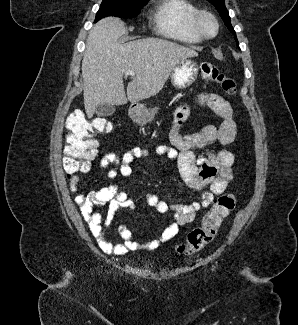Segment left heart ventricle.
Masks as SVG:
<instances>
[{
    "mask_svg": "<svg viewBox=\"0 0 298 325\" xmlns=\"http://www.w3.org/2000/svg\"><path fill=\"white\" fill-rule=\"evenodd\" d=\"M205 28L208 34H210L212 32L211 26L208 22L205 23Z\"/></svg>",
    "mask_w": 298,
    "mask_h": 325,
    "instance_id": "obj_1",
    "label": "left heart ventricle"
}]
</instances>
